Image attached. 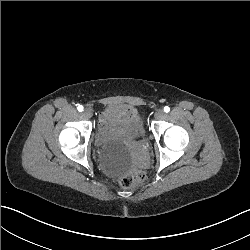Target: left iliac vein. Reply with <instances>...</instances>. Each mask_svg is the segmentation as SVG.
Masks as SVG:
<instances>
[{"mask_svg": "<svg viewBox=\"0 0 250 250\" xmlns=\"http://www.w3.org/2000/svg\"><path fill=\"white\" fill-rule=\"evenodd\" d=\"M154 117H155L157 120H163V118L165 117V113H164L163 110L158 109V110L155 112Z\"/></svg>", "mask_w": 250, "mask_h": 250, "instance_id": "left-iliac-vein-1", "label": "left iliac vein"}]
</instances>
